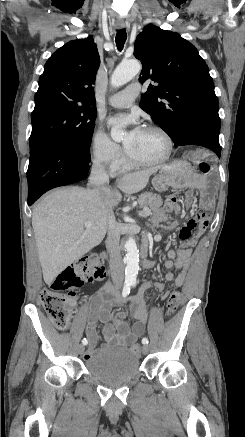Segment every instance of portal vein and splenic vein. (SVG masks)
<instances>
[{"label": "portal vein and splenic vein", "mask_w": 245, "mask_h": 437, "mask_svg": "<svg viewBox=\"0 0 245 437\" xmlns=\"http://www.w3.org/2000/svg\"><path fill=\"white\" fill-rule=\"evenodd\" d=\"M149 214H150V210H149L147 207H145V208L143 209V212L140 213V215H142V216H148ZM85 226H86V227L91 226V222H86V223H85Z\"/></svg>", "instance_id": "obj_1"}]
</instances>
